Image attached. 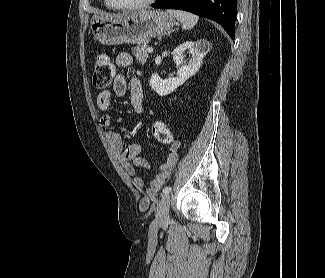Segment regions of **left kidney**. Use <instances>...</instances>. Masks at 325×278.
Segmentation results:
<instances>
[{
  "instance_id": "left-kidney-1",
  "label": "left kidney",
  "mask_w": 325,
  "mask_h": 278,
  "mask_svg": "<svg viewBox=\"0 0 325 278\" xmlns=\"http://www.w3.org/2000/svg\"><path fill=\"white\" fill-rule=\"evenodd\" d=\"M187 52L191 58L185 60L184 53ZM173 59L178 67L176 76L163 80L154 73L150 79V86L160 96H166L181 86L187 79L197 73L206 52L200 42L186 41L173 50Z\"/></svg>"
}]
</instances>
